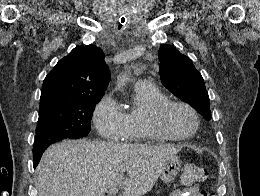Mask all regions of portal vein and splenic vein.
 <instances>
[{
  "label": "portal vein and splenic vein",
  "instance_id": "18ae733b",
  "mask_svg": "<svg viewBox=\"0 0 260 196\" xmlns=\"http://www.w3.org/2000/svg\"><path fill=\"white\" fill-rule=\"evenodd\" d=\"M119 190L118 188H110L108 192H106L107 196H115V194H118Z\"/></svg>",
  "mask_w": 260,
  "mask_h": 196
}]
</instances>
